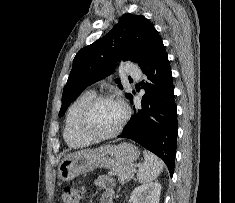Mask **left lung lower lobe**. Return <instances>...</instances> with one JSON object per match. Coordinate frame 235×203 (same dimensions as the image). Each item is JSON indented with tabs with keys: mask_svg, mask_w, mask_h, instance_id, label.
I'll return each mask as SVG.
<instances>
[{
	"mask_svg": "<svg viewBox=\"0 0 235 203\" xmlns=\"http://www.w3.org/2000/svg\"><path fill=\"white\" fill-rule=\"evenodd\" d=\"M140 68L147 77L142 81L145 95L118 137L132 139L156 154L172 176L178 125L172 73L162 39ZM130 101L133 103V97Z\"/></svg>",
	"mask_w": 235,
	"mask_h": 203,
	"instance_id": "obj_1",
	"label": "left lung lower lobe"
}]
</instances>
